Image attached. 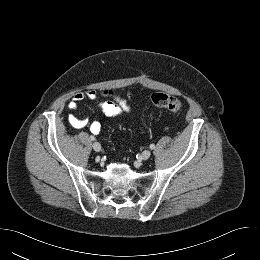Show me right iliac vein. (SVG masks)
Returning <instances> with one entry per match:
<instances>
[{
    "instance_id": "obj_1",
    "label": "right iliac vein",
    "mask_w": 260,
    "mask_h": 260,
    "mask_svg": "<svg viewBox=\"0 0 260 260\" xmlns=\"http://www.w3.org/2000/svg\"><path fill=\"white\" fill-rule=\"evenodd\" d=\"M93 149L96 151V152H100L101 150V145L99 142H94L93 145H92Z\"/></svg>"
}]
</instances>
